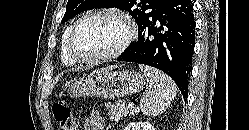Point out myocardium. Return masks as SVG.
Segmentation results:
<instances>
[{
  "instance_id": "f54148a6",
  "label": "myocardium",
  "mask_w": 249,
  "mask_h": 130,
  "mask_svg": "<svg viewBox=\"0 0 249 130\" xmlns=\"http://www.w3.org/2000/svg\"><path fill=\"white\" fill-rule=\"evenodd\" d=\"M96 16H105V17H113V18H118L122 20L126 27H127V34L122 43L113 51L102 54V55H97V56H89V57H84L77 55L74 50H73V41L76 35V32L81 25L82 22H84L86 19L91 18V17H96ZM137 35V28L134 23V21L131 19L129 15L126 13L119 11V10H111V9H98V10H93L85 13L82 15L79 19L76 20V22L73 24L68 39L66 43V51L68 56L74 61V62H79V63H98V62H104L108 60L115 59L119 57L121 54H123L126 49L130 46L132 41L135 39Z\"/></svg>"
}]
</instances>
